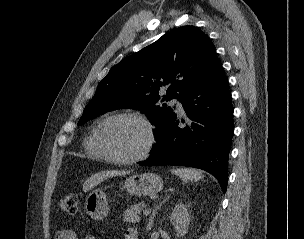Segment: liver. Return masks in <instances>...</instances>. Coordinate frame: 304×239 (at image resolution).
Segmentation results:
<instances>
[{
    "label": "liver",
    "instance_id": "obj_1",
    "mask_svg": "<svg viewBox=\"0 0 304 239\" xmlns=\"http://www.w3.org/2000/svg\"><path fill=\"white\" fill-rule=\"evenodd\" d=\"M128 171H117V170H107V171H102L99 173H96L94 175H92L91 177H89L83 185V191L87 192L89 190H91L92 188H94L95 186H97L99 183H101L102 181H104L107 178L110 177H115V176H122L125 174H128Z\"/></svg>",
    "mask_w": 304,
    "mask_h": 239
}]
</instances>
